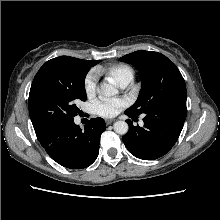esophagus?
I'll return each instance as SVG.
<instances>
[{"label":"esophagus","instance_id":"obj_1","mask_svg":"<svg viewBox=\"0 0 220 220\" xmlns=\"http://www.w3.org/2000/svg\"><path fill=\"white\" fill-rule=\"evenodd\" d=\"M115 120L114 119H106L105 122L107 125H110L111 123H113Z\"/></svg>","mask_w":220,"mask_h":220}]
</instances>
